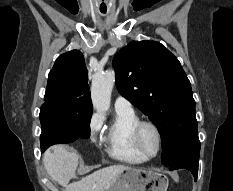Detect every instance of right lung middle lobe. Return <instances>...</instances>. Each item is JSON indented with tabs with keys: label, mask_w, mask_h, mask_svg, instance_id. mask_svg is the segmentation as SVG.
I'll list each match as a JSON object with an SVG mask.
<instances>
[{
	"label": "right lung middle lobe",
	"mask_w": 233,
	"mask_h": 191,
	"mask_svg": "<svg viewBox=\"0 0 233 191\" xmlns=\"http://www.w3.org/2000/svg\"><path fill=\"white\" fill-rule=\"evenodd\" d=\"M92 110H76L55 104H44L40 109L42 133L41 149L57 143H71L90 136Z\"/></svg>",
	"instance_id": "1"
}]
</instances>
